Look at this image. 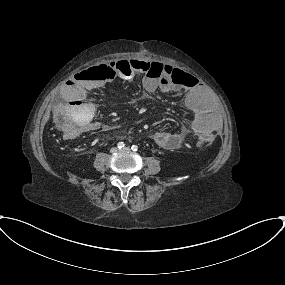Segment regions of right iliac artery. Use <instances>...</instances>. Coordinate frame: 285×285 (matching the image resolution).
Here are the masks:
<instances>
[{"label":"right iliac artery","mask_w":285,"mask_h":285,"mask_svg":"<svg viewBox=\"0 0 285 285\" xmlns=\"http://www.w3.org/2000/svg\"><path fill=\"white\" fill-rule=\"evenodd\" d=\"M117 147H118L119 149L124 148V147H125V144H124L123 142H119V143L117 144Z\"/></svg>","instance_id":"82829eb1"}]
</instances>
